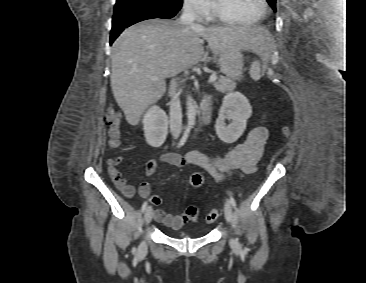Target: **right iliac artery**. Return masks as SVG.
Instances as JSON below:
<instances>
[{
    "label": "right iliac artery",
    "instance_id": "82829eb1",
    "mask_svg": "<svg viewBox=\"0 0 366 283\" xmlns=\"http://www.w3.org/2000/svg\"><path fill=\"white\" fill-rule=\"evenodd\" d=\"M191 128L190 127H187V129L185 130L182 138L180 139L179 143H178V147H181L184 145V143L186 142L187 138H188V135H189V132H190ZM147 201H145L142 205V208H141V211L144 212L147 208Z\"/></svg>",
    "mask_w": 366,
    "mask_h": 283
}]
</instances>
